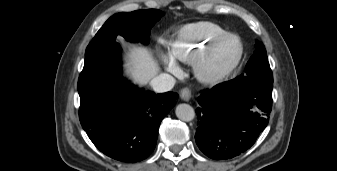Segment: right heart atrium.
I'll return each mask as SVG.
<instances>
[{"label": "right heart atrium", "mask_w": 337, "mask_h": 171, "mask_svg": "<svg viewBox=\"0 0 337 171\" xmlns=\"http://www.w3.org/2000/svg\"><path fill=\"white\" fill-rule=\"evenodd\" d=\"M163 63L167 71L174 75H179L181 73V69L178 63L169 56H163Z\"/></svg>", "instance_id": "1"}]
</instances>
